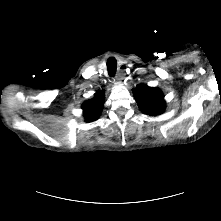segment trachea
<instances>
[{
  "label": "trachea",
  "instance_id": "trachea-1",
  "mask_svg": "<svg viewBox=\"0 0 221 221\" xmlns=\"http://www.w3.org/2000/svg\"><path fill=\"white\" fill-rule=\"evenodd\" d=\"M107 69L110 77H114L117 69V62L114 58H109L107 61Z\"/></svg>",
  "mask_w": 221,
  "mask_h": 221
}]
</instances>
